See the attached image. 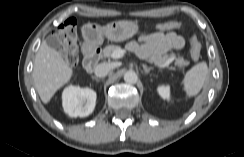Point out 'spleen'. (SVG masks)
Returning a JSON list of instances; mask_svg holds the SVG:
<instances>
[{
    "instance_id": "3e777b00",
    "label": "spleen",
    "mask_w": 244,
    "mask_h": 157,
    "mask_svg": "<svg viewBox=\"0 0 244 157\" xmlns=\"http://www.w3.org/2000/svg\"><path fill=\"white\" fill-rule=\"evenodd\" d=\"M208 73L205 61L199 62L186 72L182 80L183 90L187 97L196 96L204 86Z\"/></svg>"
}]
</instances>
